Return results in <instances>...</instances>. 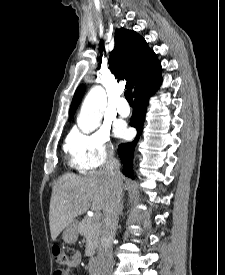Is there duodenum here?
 <instances>
[{
  "instance_id": "duodenum-1",
  "label": "duodenum",
  "mask_w": 225,
  "mask_h": 275,
  "mask_svg": "<svg viewBox=\"0 0 225 275\" xmlns=\"http://www.w3.org/2000/svg\"><path fill=\"white\" fill-rule=\"evenodd\" d=\"M89 274L96 275L97 274V258L92 257L89 260Z\"/></svg>"
}]
</instances>
